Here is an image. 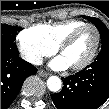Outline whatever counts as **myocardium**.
Wrapping results in <instances>:
<instances>
[{
  "label": "myocardium",
  "mask_w": 109,
  "mask_h": 109,
  "mask_svg": "<svg viewBox=\"0 0 109 109\" xmlns=\"http://www.w3.org/2000/svg\"><path fill=\"white\" fill-rule=\"evenodd\" d=\"M86 28H93L95 33H96V42L94 45V48L91 52V54L81 63L77 65H71L70 68L72 70H81L89 66L94 59L96 58L99 48H100V43H101V33L98 27L94 24L91 23H86L84 25H81L80 27L74 29L58 46V51L60 54H62L65 49H67L69 46H71L77 39V37L81 34L83 30Z\"/></svg>",
  "instance_id": "f54148a6"
}]
</instances>
